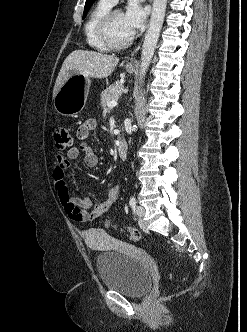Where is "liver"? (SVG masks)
<instances>
[{
	"mask_svg": "<svg viewBox=\"0 0 247 332\" xmlns=\"http://www.w3.org/2000/svg\"><path fill=\"white\" fill-rule=\"evenodd\" d=\"M118 57L95 51L75 50L64 60L53 89V99L65 81L75 73L103 79L112 74Z\"/></svg>",
	"mask_w": 247,
	"mask_h": 332,
	"instance_id": "6515ba94",
	"label": "liver"
}]
</instances>
